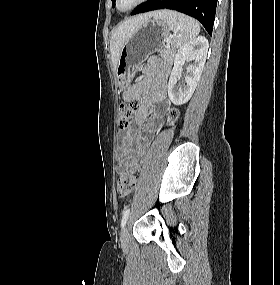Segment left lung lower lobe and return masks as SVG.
Returning <instances> with one entry per match:
<instances>
[{"label":"left lung lower lobe","instance_id":"1","mask_svg":"<svg viewBox=\"0 0 280 285\" xmlns=\"http://www.w3.org/2000/svg\"><path fill=\"white\" fill-rule=\"evenodd\" d=\"M217 0H147L134 9L131 15L157 9H172L199 20L211 35Z\"/></svg>","mask_w":280,"mask_h":285}]
</instances>
